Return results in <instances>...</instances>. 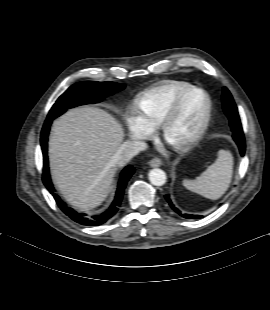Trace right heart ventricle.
Listing matches in <instances>:
<instances>
[{
  "label": "right heart ventricle",
  "instance_id": "right-heart-ventricle-1",
  "mask_svg": "<svg viewBox=\"0 0 270 310\" xmlns=\"http://www.w3.org/2000/svg\"><path fill=\"white\" fill-rule=\"evenodd\" d=\"M190 87L183 81L160 82L140 94L138 108L145 120L157 127L175 98Z\"/></svg>",
  "mask_w": 270,
  "mask_h": 310
}]
</instances>
